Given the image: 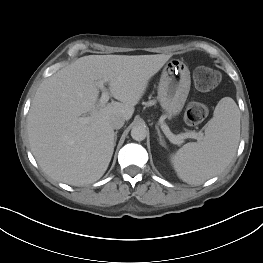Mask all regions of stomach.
Here are the masks:
<instances>
[{"mask_svg": "<svg viewBox=\"0 0 263 263\" xmlns=\"http://www.w3.org/2000/svg\"><path fill=\"white\" fill-rule=\"evenodd\" d=\"M190 85V71L182 61L172 59L165 65L158 86V100L168 117L182 111Z\"/></svg>", "mask_w": 263, "mask_h": 263, "instance_id": "obj_1", "label": "stomach"}]
</instances>
